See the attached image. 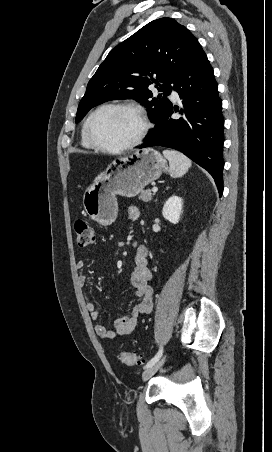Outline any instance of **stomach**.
<instances>
[{"label":"stomach","instance_id":"stomach-1","mask_svg":"<svg viewBox=\"0 0 272 452\" xmlns=\"http://www.w3.org/2000/svg\"><path fill=\"white\" fill-rule=\"evenodd\" d=\"M166 170V160L153 148L137 150L115 159L97 183L83 195V206L91 219L102 226L111 225L118 215L117 195L131 198L157 180Z\"/></svg>","mask_w":272,"mask_h":452}]
</instances>
